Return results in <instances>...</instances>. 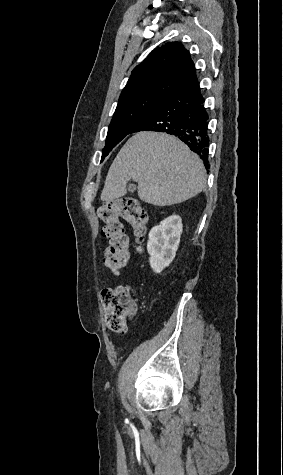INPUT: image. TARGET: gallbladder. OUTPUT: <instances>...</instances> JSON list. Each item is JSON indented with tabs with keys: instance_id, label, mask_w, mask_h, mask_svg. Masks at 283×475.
Wrapping results in <instances>:
<instances>
[{
	"instance_id": "bac80fb5",
	"label": "gallbladder",
	"mask_w": 283,
	"mask_h": 475,
	"mask_svg": "<svg viewBox=\"0 0 283 475\" xmlns=\"http://www.w3.org/2000/svg\"><path fill=\"white\" fill-rule=\"evenodd\" d=\"M128 190H129V192H135V190H136L135 184H129Z\"/></svg>"
}]
</instances>
